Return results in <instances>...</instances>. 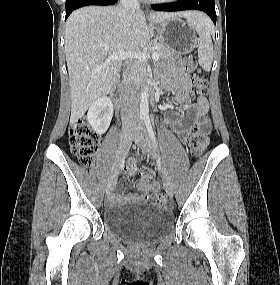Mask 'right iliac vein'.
<instances>
[{"label": "right iliac vein", "mask_w": 280, "mask_h": 285, "mask_svg": "<svg viewBox=\"0 0 280 285\" xmlns=\"http://www.w3.org/2000/svg\"><path fill=\"white\" fill-rule=\"evenodd\" d=\"M131 136H132L131 132L124 133L121 136L117 159L111 171L108 184H107V188H106L107 195H109L112 192V190L114 189L116 185L121 164L130 148Z\"/></svg>", "instance_id": "1"}]
</instances>
